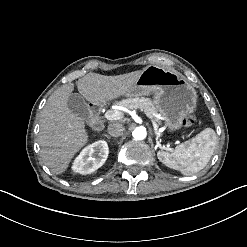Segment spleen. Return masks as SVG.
<instances>
[{"mask_svg":"<svg viewBox=\"0 0 247 247\" xmlns=\"http://www.w3.org/2000/svg\"><path fill=\"white\" fill-rule=\"evenodd\" d=\"M217 136L212 128H206L190 141H186L171 152L159 151L157 156L166 166L191 175L204 169L216 145Z\"/></svg>","mask_w":247,"mask_h":247,"instance_id":"1","label":"spleen"}]
</instances>
